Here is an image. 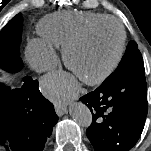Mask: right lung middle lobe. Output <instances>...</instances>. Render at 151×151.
I'll return each instance as SVG.
<instances>
[{"label":"right lung middle lobe","instance_id":"obj_1","mask_svg":"<svg viewBox=\"0 0 151 151\" xmlns=\"http://www.w3.org/2000/svg\"><path fill=\"white\" fill-rule=\"evenodd\" d=\"M22 22L19 13L0 32V68L7 72H18L23 67L19 53Z\"/></svg>","mask_w":151,"mask_h":151}]
</instances>
